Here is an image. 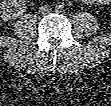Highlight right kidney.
I'll return each mask as SVG.
<instances>
[{"mask_svg": "<svg viewBox=\"0 0 111 106\" xmlns=\"http://www.w3.org/2000/svg\"><path fill=\"white\" fill-rule=\"evenodd\" d=\"M7 4H8V5H7ZM10 7H11V5L9 4V2H8V3H6V2H3V3H2V6H1V14H2V17H3V18L10 19V18H15V17H17L16 14L11 13V12H13V9L10 8Z\"/></svg>", "mask_w": 111, "mask_h": 106, "instance_id": "1", "label": "right kidney"}]
</instances>
